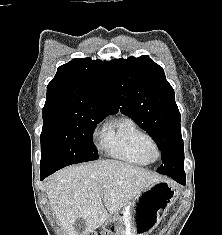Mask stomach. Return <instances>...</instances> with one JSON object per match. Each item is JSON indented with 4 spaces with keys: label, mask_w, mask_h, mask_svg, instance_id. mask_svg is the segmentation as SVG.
<instances>
[{
    "label": "stomach",
    "mask_w": 222,
    "mask_h": 235,
    "mask_svg": "<svg viewBox=\"0 0 222 235\" xmlns=\"http://www.w3.org/2000/svg\"><path fill=\"white\" fill-rule=\"evenodd\" d=\"M178 198L174 184L159 181L144 188L103 225V235H149Z\"/></svg>",
    "instance_id": "stomach-1"
}]
</instances>
